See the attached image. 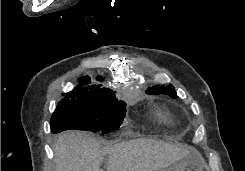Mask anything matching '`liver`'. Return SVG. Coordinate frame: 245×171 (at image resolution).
Instances as JSON below:
<instances>
[{"label":"liver","mask_w":245,"mask_h":171,"mask_svg":"<svg viewBox=\"0 0 245 171\" xmlns=\"http://www.w3.org/2000/svg\"><path fill=\"white\" fill-rule=\"evenodd\" d=\"M56 171H102L100 165L108 154L107 171H159L192 153L153 139H136L102 148L90 134L66 131L54 145Z\"/></svg>","instance_id":"liver-1"}]
</instances>
